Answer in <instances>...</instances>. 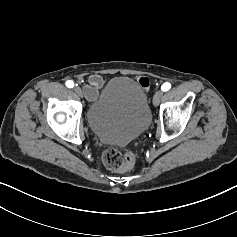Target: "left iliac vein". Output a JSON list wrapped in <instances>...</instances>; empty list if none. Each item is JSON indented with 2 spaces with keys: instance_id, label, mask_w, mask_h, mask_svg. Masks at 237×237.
Listing matches in <instances>:
<instances>
[{
  "instance_id": "1",
  "label": "left iliac vein",
  "mask_w": 237,
  "mask_h": 237,
  "mask_svg": "<svg viewBox=\"0 0 237 237\" xmlns=\"http://www.w3.org/2000/svg\"><path fill=\"white\" fill-rule=\"evenodd\" d=\"M162 97H163V91L161 90L156 91L153 97L154 105H158Z\"/></svg>"
}]
</instances>
